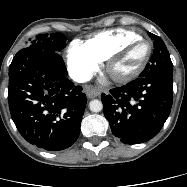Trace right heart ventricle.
Segmentation results:
<instances>
[{
    "label": "right heart ventricle",
    "instance_id": "1",
    "mask_svg": "<svg viewBox=\"0 0 187 187\" xmlns=\"http://www.w3.org/2000/svg\"><path fill=\"white\" fill-rule=\"evenodd\" d=\"M141 37L138 33L128 29H110L94 34L83 42L86 48L101 62L117 47Z\"/></svg>",
    "mask_w": 187,
    "mask_h": 187
}]
</instances>
